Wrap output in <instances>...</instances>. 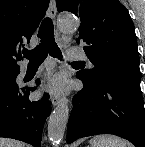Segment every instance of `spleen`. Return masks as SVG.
Masks as SVG:
<instances>
[{
	"mask_svg": "<svg viewBox=\"0 0 145 147\" xmlns=\"http://www.w3.org/2000/svg\"><path fill=\"white\" fill-rule=\"evenodd\" d=\"M91 147H126L125 142L112 135H99L90 140Z\"/></svg>",
	"mask_w": 145,
	"mask_h": 147,
	"instance_id": "spleen-1",
	"label": "spleen"
}]
</instances>
